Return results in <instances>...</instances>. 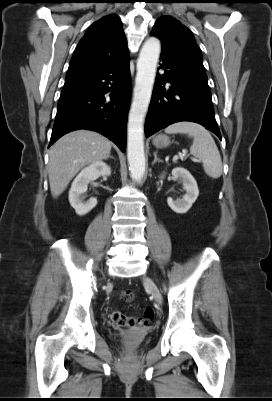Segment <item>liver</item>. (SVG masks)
<instances>
[{
	"instance_id": "1",
	"label": "liver",
	"mask_w": 272,
	"mask_h": 401,
	"mask_svg": "<svg viewBox=\"0 0 272 401\" xmlns=\"http://www.w3.org/2000/svg\"><path fill=\"white\" fill-rule=\"evenodd\" d=\"M111 142L89 130L70 132L54 143L49 152V183L51 194L58 197L72 178L86 165L106 159Z\"/></svg>"
}]
</instances>
